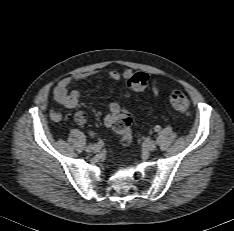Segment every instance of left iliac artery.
I'll return each mask as SVG.
<instances>
[{
    "label": "left iliac artery",
    "instance_id": "obj_1",
    "mask_svg": "<svg viewBox=\"0 0 234 231\" xmlns=\"http://www.w3.org/2000/svg\"><path fill=\"white\" fill-rule=\"evenodd\" d=\"M161 130V127L159 125L155 126L154 127V131L155 132H159Z\"/></svg>",
    "mask_w": 234,
    "mask_h": 231
}]
</instances>
